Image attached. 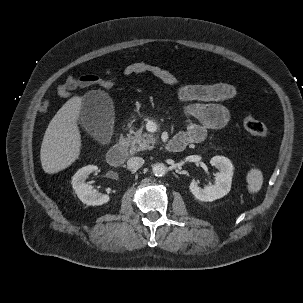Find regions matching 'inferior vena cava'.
Instances as JSON below:
<instances>
[{"mask_svg":"<svg viewBox=\"0 0 303 303\" xmlns=\"http://www.w3.org/2000/svg\"><path fill=\"white\" fill-rule=\"evenodd\" d=\"M144 164V159L141 157H131L127 161V168L130 171H137Z\"/></svg>","mask_w":303,"mask_h":303,"instance_id":"1","label":"inferior vena cava"}]
</instances>
